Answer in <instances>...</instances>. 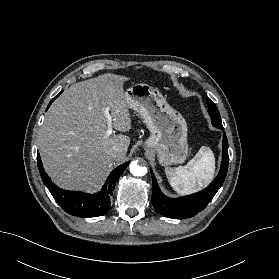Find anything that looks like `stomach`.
Returning <instances> with one entry per match:
<instances>
[{
	"label": "stomach",
	"mask_w": 279,
	"mask_h": 279,
	"mask_svg": "<svg viewBox=\"0 0 279 279\" xmlns=\"http://www.w3.org/2000/svg\"><path fill=\"white\" fill-rule=\"evenodd\" d=\"M129 108L139 113L151 132L144 148L156 152L163 166L183 163L188 155L187 123L158 89L144 83L125 92Z\"/></svg>",
	"instance_id": "0dacf381"
}]
</instances>
